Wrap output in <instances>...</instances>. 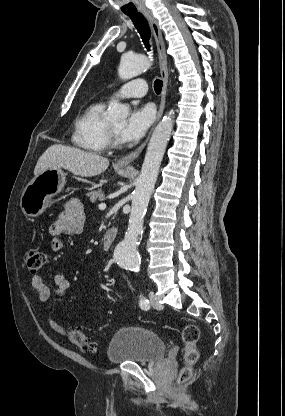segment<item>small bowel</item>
I'll use <instances>...</instances> for the list:
<instances>
[{
    "label": "small bowel",
    "mask_w": 285,
    "mask_h": 416,
    "mask_svg": "<svg viewBox=\"0 0 285 416\" xmlns=\"http://www.w3.org/2000/svg\"><path fill=\"white\" fill-rule=\"evenodd\" d=\"M85 224V216L80 202L76 199L69 201L64 211L51 224L49 233L52 236L49 247L53 253L63 249L62 235H74L82 232ZM54 286L48 285L40 276L32 279V287L36 290L41 302L47 303L53 297H61L70 286L69 280L63 274H56L53 278ZM49 327L58 335L65 336L67 330L64 326L48 317Z\"/></svg>",
    "instance_id": "1"
}]
</instances>
